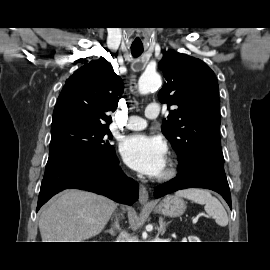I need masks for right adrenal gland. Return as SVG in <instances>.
Segmentation results:
<instances>
[{
	"mask_svg": "<svg viewBox=\"0 0 270 270\" xmlns=\"http://www.w3.org/2000/svg\"><path fill=\"white\" fill-rule=\"evenodd\" d=\"M119 229H120L119 219L115 217L113 227H111L109 230H106L105 232L109 233L111 236H115L116 230H119Z\"/></svg>",
	"mask_w": 270,
	"mask_h": 270,
	"instance_id": "2a0ac1e0",
	"label": "right adrenal gland"
}]
</instances>
